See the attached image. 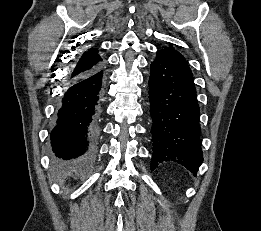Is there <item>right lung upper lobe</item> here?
I'll return each mask as SVG.
<instances>
[{
	"mask_svg": "<svg viewBox=\"0 0 261 231\" xmlns=\"http://www.w3.org/2000/svg\"><path fill=\"white\" fill-rule=\"evenodd\" d=\"M102 65V58L96 48H90L83 53L74 70L69 76V80H74L84 76Z\"/></svg>",
	"mask_w": 261,
	"mask_h": 231,
	"instance_id": "cb5924a9",
	"label": "right lung upper lobe"
}]
</instances>
